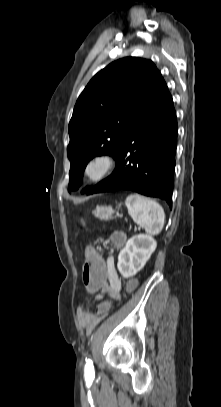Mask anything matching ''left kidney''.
<instances>
[{"label": "left kidney", "instance_id": "left-kidney-1", "mask_svg": "<svg viewBox=\"0 0 221 407\" xmlns=\"http://www.w3.org/2000/svg\"><path fill=\"white\" fill-rule=\"evenodd\" d=\"M157 246L156 240L146 234L131 237L118 255L117 268L124 278L136 275L149 260Z\"/></svg>", "mask_w": 221, "mask_h": 407}]
</instances>
